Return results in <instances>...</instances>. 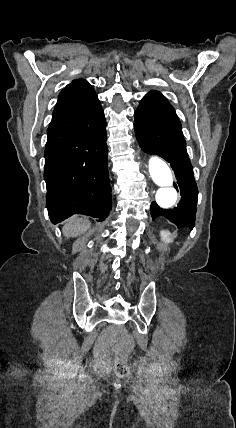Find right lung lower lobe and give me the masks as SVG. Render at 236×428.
I'll return each mask as SVG.
<instances>
[{
  "mask_svg": "<svg viewBox=\"0 0 236 428\" xmlns=\"http://www.w3.org/2000/svg\"><path fill=\"white\" fill-rule=\"evenodd\" d=\"M47 133L44 179L52 223L73 214L104 220L112 201L102 107L52 119Z\"/></svg>",
  "mask_w": 236,
  "mask_h": 428,
  "instance_id": "98d812e1",
  "label": "right lung lower lobe"
}]
</instances>
